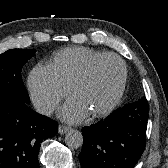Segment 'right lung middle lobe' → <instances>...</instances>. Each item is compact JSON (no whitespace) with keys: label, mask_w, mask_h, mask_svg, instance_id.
<instances>
[{"label":"right lung middle lobe","mask_w":168,"mask_h":168,"mask_svg":"<svg viewBox=\"0 0 168 168\" xmlns=\"http://www.w3.org/2000/svg\"><path fill=\"white\" fill-rule=\"evenodd\" d=\"M35 54L31 49H11L0 54V98L29 103L21 78L23 65Z\"/></svg>","instance_id":"right-lung-middle-lobe-1"}]
</instances>
